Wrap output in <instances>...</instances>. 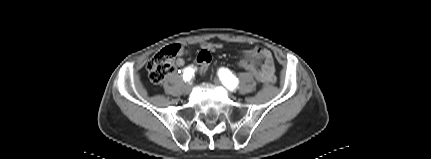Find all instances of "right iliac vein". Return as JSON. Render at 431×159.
<instances>
[{
	"label": "right iliac vein",
	"instance_id": "obj_1",
	"mask_svg": "<svg viewBox=\"0 0 431 159\" xmlns=\"http://www.w3.org/2000/svg\"><path fill=\"white\" fill-rule=\"evenodd\" d=\"M191 89H192V84H191V83H187V84L184 86V88H183V92H184L185 94H189V93L191 92Z\"/></svg>",
	"mask_w": 431,
	"mask_h": 159
}]
</instances>
